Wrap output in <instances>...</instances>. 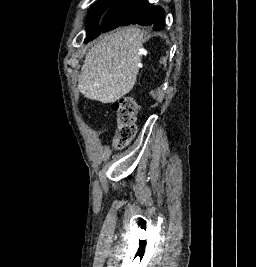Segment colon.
I'll return each mask as SVG.
<instances>
[{
    "label": "colon",
    "mask_w": 256,
    "mask_h": 267,
    "mask_svg": "<svg viewBox=\"0 0 256 267\" xmlns=\"http://www.w3.org/2000/svg\"><path fill=\"white\" fill-rule=\"evenodd\" d=\"M113 111L118 114V135L116 142L119 148L131 142L137 132L136 120L139 106L133 96H125L115 101L112 105Z\"/></svg>",
    "instance_id": "obj_1"
}]
</instances>
